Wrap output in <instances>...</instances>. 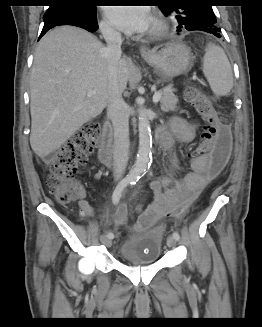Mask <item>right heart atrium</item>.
Instances as JSON below:
<instances>
[{
    "mask_svg": "<svg viewBox=\"0 0 262 327\" xmlns=\"http://www.w3.org/2000/svg\"><path fill=\"white\" fill-rule=\"evenodd\" d=\"M99 27L103 35L106 37L114 38L119 36V32L107 19H103L100 22Z\"/></svg>",
    "mask_w": 262,
    "mask_h": 327,
    "instance_id": "right-heart-atrium-1",
    "label": "right heart atrium"
}]
</instances>
